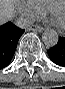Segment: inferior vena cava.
I'll use <instances>...</instances> for the list:
<instances>
[{"label":"inferior vena cava","instance_id":"obj_1","mask_svg":"<svg viewBox=\"0 0 65 89\" xmlns=\"http://www.w3.org/2000/svg\"><path fill=\"white\" fill-rule=\"evenodd\" d=\"M32 20L27 17H19L16 21V26L22 29L29 28L32 25Z\"/></svg>","mask_w":65,"mask_h":89}]
</instances>
